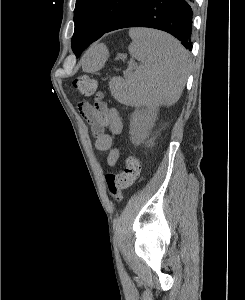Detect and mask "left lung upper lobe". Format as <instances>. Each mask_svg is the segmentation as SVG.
Returning <instances> with one entry per match:
<instances>
[{
	"instance_id": "obj_1",
	"label": "left lung upper lobe",
	"mask_w": 245,
	"mask_h": 300,
	"mask_svg": "<svg viewBox=\"0 0 245 300\" xmlns=\"http://www.w3.org/2000/svg\"><path fill=\"white\" fill-rule=\"evenodd\" d=\"M135 0H76L75 31L72 37L74 53L84 40L103 35L114 20Z\"/></svg>"
}]
</instances>
